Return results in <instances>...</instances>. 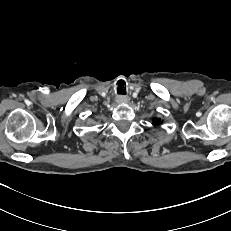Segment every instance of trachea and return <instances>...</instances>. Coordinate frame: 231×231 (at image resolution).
<instances>
[{"label":"trachea","mask_w":231,"mask_h":231,"mask_svg":"<svg viewBox=\"0 0 231 231\" xmlns=\"http://www.w3.org/2000/svg\"><path fill=\"white\" fill-rule=\"evenodd\" d=\"M118 88H119V89H117V93L118 94H122V95L126 94V84H125V88H124V84L123 83H119L118 84Z\"/></svg>","instance_id":"1"}]
</instances>
